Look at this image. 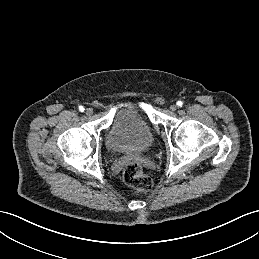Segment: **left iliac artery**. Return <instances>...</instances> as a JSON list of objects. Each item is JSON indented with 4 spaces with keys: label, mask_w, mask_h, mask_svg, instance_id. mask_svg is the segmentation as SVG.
Instances as JSON below:
<instances>
[{
    "label": "left iliac artery",
    "mask_w": 259,
    "mask_h": 259,
    "mask_svg": "<svg viewBox=\"0 0 259 259\" xmlns=\"http://www.w3.org/2000/svg\"><path fill=\"white\" fill-rule=\"evenodd\" d=\"M177 105H178L179 107H182L183 102H182V101H178V102H177Z\"/></svg>",
    "instance_id": "left-iliac-artery-1"
}]
</instances>
